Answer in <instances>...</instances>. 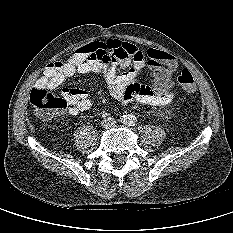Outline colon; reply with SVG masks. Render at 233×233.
<instances>
[{
  "mask_svg": "<svg viewBox=\"0 0 233 233\" xmlns=\"http://www.w3.org/2000/svg\"><path fill=\"white\" fill-rule=\"evenodd\" d=\"M178 82L188 93L196 90L194 78L190 71H181ZM30 102L36 113L43 118H50L63 112L68 104L63 96H57L49 92L46 88H34L30 93Z\"/></svg>",
  "mask_w": 233,
  "mask_h": 233,
  "instance_id": "5ec220e1",
  "label": "colon"
}]
</instances>
